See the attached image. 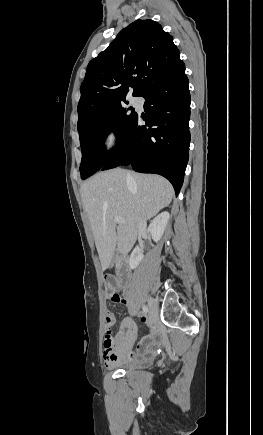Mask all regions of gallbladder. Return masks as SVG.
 I'll return each instance as SVG.
<instances>
[{"label": "gallbladder", "mask_w": 263, "mask_h": 435, "mask_svg": "<svg viewBox=\"0 0 263 435\" xmlns=\"http://www.w3.org/2000/svg\"><path fill=\"white\" fill-rule=\"evenodd\" d=\"M116 257H117V255L115 254V255H114V258H113V261H112V264L115 263Z\"/></svg>", "instance_id": "gallbladder-1"}]
</instances>
